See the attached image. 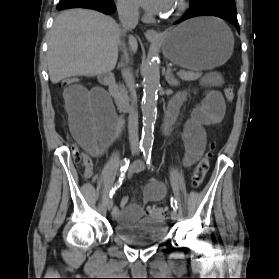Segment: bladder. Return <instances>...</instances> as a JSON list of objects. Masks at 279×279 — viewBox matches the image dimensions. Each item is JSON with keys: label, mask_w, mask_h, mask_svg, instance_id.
Here are the masks:
<instances>
[{"label": "bladder", "mask_w": 279, "mask_h": 279, "mask_svg": "<svg viewBox=\"0 0 279 279\" xmlns=\"http://www.w3.org/2000/svg\"><path fill=\"white\" fill-rule=\"evenodd\" d=\"M167 230L165 221L148 217L132 225L116 223L114 226V233L119 239L136 246L152 245L161 241L166 236Z\"/></svg>", "instance_id": "obj_1"}]
</instances>
